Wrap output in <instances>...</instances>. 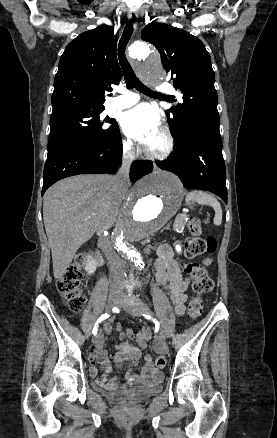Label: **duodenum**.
Returning <instances> with one entry per match:
<instances>
[{"instance_id": "1", "label": "duodenum", "mask_w": 277, "mask_h": 438, "mask_svg": "<svg viewBox=\"0 0 277 438\" xmlns=\"http://www.w3.org/2000/svg\"><path fill=\"white\" fill-rule=\"evenodd\" d=\"M98 264L102 265L103 264V259L101 256H98Z\"/></svg>"}]
</instances>
